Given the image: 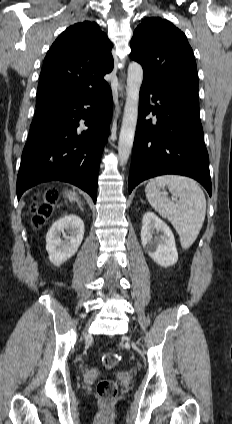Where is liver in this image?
Listing matches in <instances>:
<instances>
[{"label": "liver", "mask_w": 232, "mask_h": 424, "mask_svg": "<svg viewBox=\"0 0 232 424\" xmlns=\"http://www.w3.org/2000/svg\"><path fill=\"white\" fill-rule=\"evenodd\" d=\"M76 194L72 193V192H68L67 193V198L69 199V201H73L75 199Z\"/></svg>", "instance_id": "liver-1"}]
</instances>
